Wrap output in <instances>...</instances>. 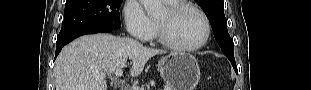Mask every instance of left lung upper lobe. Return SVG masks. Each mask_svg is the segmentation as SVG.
Returning a JSON list of instances; mask_svg holds the SVG:
<instances>
[{
	"instance_id": "left-lung-upper-lobe-1",
	"label": "left lung upper lobe",
	"mask_w": 311,
	"mask_h": 90,
	"mask_svg": "<svg viewBox=\"0 0 311 90\" xmlns=\"http://www.w3.org/2000/svg\"><path fill=\"white\" fill-rule=\"evenodd\" d=\"M197 2L208 17L214 32V37L223 53L231 63L235 62L234 44L227 30L223 0H197Z\"/></svg>"
}]
</instances>
